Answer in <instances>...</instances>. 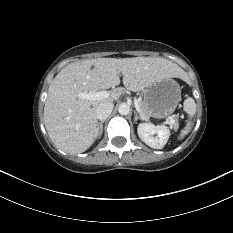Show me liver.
<instances>
[{
	"mask_svg": "<svg viewBox=\"0 0 233 233\" xmlns=\"http://www.w3.org/2000/svg\"><path fill=\"white\" fill-rule=\"evenodd\" d=\"M119 74L125 89L137 92L167 78H180L184 71L160 57L96 58L69 64L53 79L44 106V124L57 148L76 154L94 143L99 134L97 107L117 100L124 88L94 101L77 94L114 88L120 84Z\"/></svg>",
	"mask_w": 233,
	"mask_h": 233,
	"instance_id": "liver-1",
	"label": "liver"
}]
</instances>
